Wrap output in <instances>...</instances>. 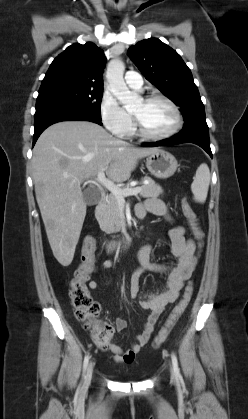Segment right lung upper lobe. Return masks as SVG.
Wrapping results in <instances>:
<instances>
[{
    "label": "right lung upper lobe",
    "instance_id": "right-lung-upper-lobe-1",
    "mask_svg": "<svg viewBox=\"0 0 248 419\" xmlns=\"http://www.w3.org/2000/svg\"><path fill=\"white\" fill-rule=\"evenodd\" d=\"M105 56L94 43H75L51 63L40 89L72 86L103 89Z\"/></svg>",
    "mask_w": 248,
    "mask_h": 419
}]
</instances>
